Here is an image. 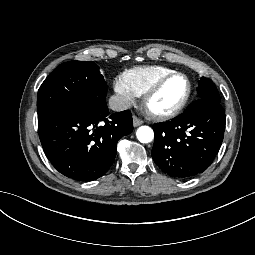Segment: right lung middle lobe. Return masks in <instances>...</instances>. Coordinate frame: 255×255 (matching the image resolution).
<instances>
[{"instance_id": "1", "label": "right lung middle lobe", "mask_w": 255, "mask_h": 255, "mask_svg": "<svg viewBox=\"0 0 255 255\" xmlns=\"http://www.w3.org/2000/svg\"><path fill=\"white\" fill-rule=\"evenodd\" d=\"M108 86L91 61H68L60 64L44 80L37 94L38 117L49 109L71 101L84 102L96 110L107 108Z\"/></svg>"}]
</instances>
